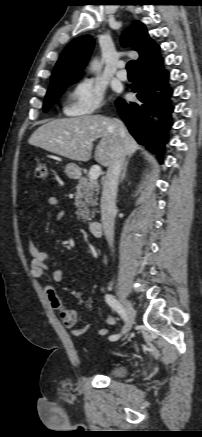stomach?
Listing matches in <instances>:
<instances>
[{
	"mask_svg": "<svg viewBox=\"0 0 202 437\" xmlns=\"http://www.w3.org/2000/svg\"><path fill=\"white\" fill-rule=\"evenodd\" d=\"M64 172L69 178L72 179L77 178L81 173L79 166L74 163L67 164Z\"/></svg>",
	"mask_w": 202,
	"mask_h": 437,
	"instance_id": "1",
	"label": "stomach"
}]
</instances>
